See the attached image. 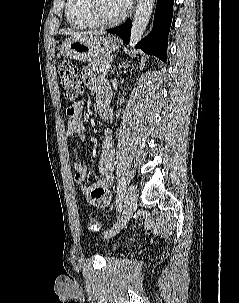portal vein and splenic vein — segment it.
<instances>
[{"mask_svg":"<svg viewBox=\"0 0 239 303\" xmlns=\"http://www.w3.org/2000/svg\"><path fill=\"white\" fill-rule=\"evenodd\" d=\"M105 66L107 69H109L111 67L110 62H107Z\"/></svg>","mask_w":239,"mask_h":303,"instance_id":"1","label":"portal vein and splenic vein"}]
</instances>
